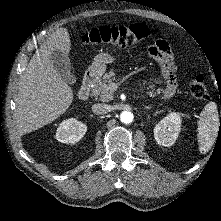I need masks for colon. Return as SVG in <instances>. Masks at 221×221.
I'll list each match as a JSON object with an SVG mask.
<instances>
[{
	"instance_id": "5ec220e1",
	"label": "colon",
	"mask_w": 221,
	"mask_h": 221,
	"mask_svg": "<svg viewBox=\"0 0 221 221\" xmlns=\"http://www.w3.org/2000/svg\"><path fill=\"white\" fill-rule=\"evenodd\" d=\"M154 32L143 23L115 27L101 26L85 32L81 36V42L84 44H106L124 48L143 41ZM190 92L197 99L207 97V86L201 74L196 75L191 81Z\"/></svg>"
}]
</instances>
